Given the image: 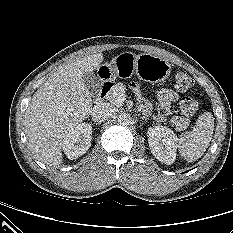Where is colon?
Segmentation results:
<instances>
[{
  "label": "colon",
  "instance_id": "1",
  "mask_svg": "<svg viewBox=\"0 0 233 233\" xmlns=\"http://www.w3.org/2000/svg\"><path fill=\"white\" fill-rule=\"evenodd\" d=\"M174 86L179 91H187L193 85V79L183 70H178L173 76ZM181 113L186 117L194 116L199 110L198 102L190 97H183L179 104Z\"/></svg>",
  "mask_w": 233,
  "mask_h": 233
}]
</instances>
